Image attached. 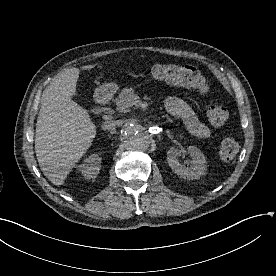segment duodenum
<instances>
[{
    "mask_svg": "<svg viewBox=\"0 0 276 276\" xmlns=\"http://www.w3.org/2000/svg\"><path fill=\"white\" fill-rule=\"evenodd\" d=\"M111 99V93L106 90H101L96 95V101L100 105H106Z\"/></svg>",
    "mask_w": 276,
    "mask_h": 276,
    "instance_id": "duodenum-1",
    "label": "duodenum"
}]
</instances>
